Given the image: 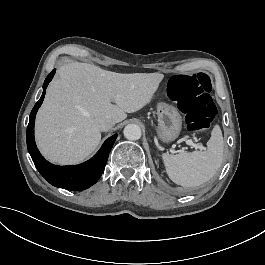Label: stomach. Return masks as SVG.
Instances as JSON below:
<instances>
[{"mask_svg": "<svg viewBox=\"0 0 265 265\" xmlns=\"http://www.w3.org/2000/svg\"><path fill=\"white\" fill-rule=\"evenodd\" d=\"M157 116L158 137L163 142L175 140L182 128V117L177 108L164 102H159L157 104Z\"/></svg>", "mask_w": 265, "mask_h": 265, "instance_id": "stomach-1", "label": "stomach"}]
</instances>
